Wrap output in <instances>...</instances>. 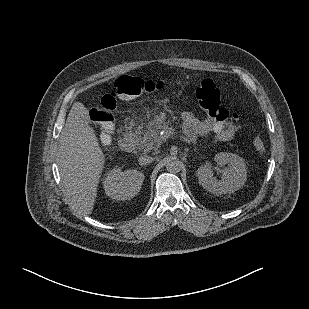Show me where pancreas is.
Returning a JSON list of instances; mask_svg holds the SVG:
<instances>
[{
	"label": "pancreas",
	"mask_w": 309,
	"mask_h": 309,
	"mask_svg": "<svg viewBox=\"0 0 309 309\" xmlns=\"http://www.w3.org/2000/svg\"><path fill=\"white\" fill-rule=\"evenodd\" d=\"M137 144L139 148L145 151H158L161 146L162 138L156 129L144 130L137 135Z\"/></svg>",
	"instance_id": "cf45deb5"
}]
</instances>
